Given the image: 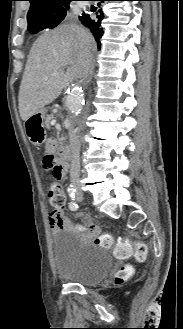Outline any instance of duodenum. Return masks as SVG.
<instances>
[{"instance_id": "410a0bca", "label": "duodenum", "mask_w": 183, "mask_h": 329, "mask_svg": "<svg viewBox=\"0 0 183 329\" xmlns=\"http://www.w3.org/2000/svg\"><path fill=\"white\" fill-rule=\"evenodd\" d=\"M60 158H61L62 164L64 166L71 161L72 152H71V149L68 146H64V147L61 148Z\"/></svg>"}]
</instances>
